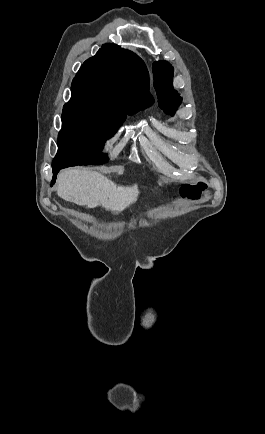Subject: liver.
Wrapping results in <instances>:
<instances>
[{"instance_id":"liver-1","label":"liver","mask_w":265,"mask_h":434,"mask_svg":"<svg viewBox=\"0 0 265 434\" xmlns=\"http://www.w3.org/2000/svg\"><path fill=\"white\" fill-rule=\"evenodd\" d=\"M57 194L66 202H74L78 206L97 208L102 206L114 214L123 212L127 206L136 202L138 186L124 188L99 174L80 168H68L58 174Z\"/></svg>"}]
</instances>
